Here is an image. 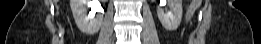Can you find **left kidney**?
<instances>
[{
    "label": "left kidney",
    "instance_id": "1",
    "mask_svg": "<svg viewBox=\"0 0 261 44\" xmlns=\"http://www.w3.org/2000/svg\"><path fill=\"white\" fill-rule=\"evenodd\" d=\"M161 1L166 3V0ZM169 8V11H164L162 7H158L157 15L163 27L168 31H173L178 28L182 20V0H171Z\"/></svg>",
    "mask_w": 261,
    "mask_h": 44
}]
</instances>
